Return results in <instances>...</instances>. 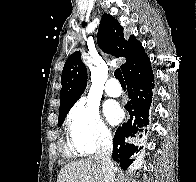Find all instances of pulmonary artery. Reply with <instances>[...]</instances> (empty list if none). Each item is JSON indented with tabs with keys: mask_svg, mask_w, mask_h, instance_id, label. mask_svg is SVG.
<instances>
[{
	"mask_svg": "<svg viewBox=\"0 0 196 182\" xmlns=\"http://www.w3.org/2000/svg\"><path fill=\"white\" fill-rule=\"evenodd\" d=\"M105 92L108 96L119 97L121 95V87L116 78H109L105 84Z\"/></svg>",
	"mask_w": 196,
	"mask_h": 182,
	"instance_id": "pulmonary-artery-1",
	"label": "pulmonary artery"
}]
</instances>
